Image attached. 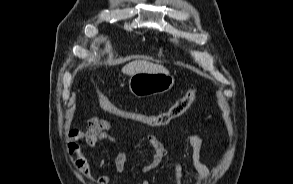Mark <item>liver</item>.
Returning a JSON list of instances; mask_svg holds the SVG:
<instances>
[{
    "label": "liver",
    "instance_id": "1",
    "mask_svg": "<svg viewBox=\"0 0 293 184\" xmlns=\"http://www.w3.org/2000/svg\"><path fill=\"white\" fill-rule=\"evenodd\" d=\"M122 72L127 75H134L139 72L167 73L168 70L159 64H154L146 60H135L122 68Z\"/></svg>",
    "mask_w": 293,
    "mask_h": 184
}]
</instances>
